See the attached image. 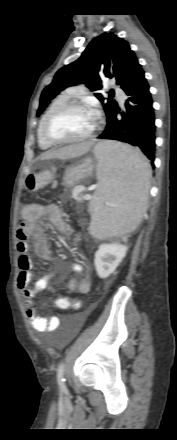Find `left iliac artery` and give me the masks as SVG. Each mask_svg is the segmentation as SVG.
Segmentation results:
<instances>
[{"mask_svg": "<svg viewBox=\"0 0 177 440\" xmlns=\"http://www.w3.org/2000/svg\"><path fill=\"white\" fill-rule=\"evenodd\" d=\"M57 382L59 387L64 390L66 388L65 386V379H64V363L62 362L57 370Z\"/></svg>", "mask_w": 177, "mask_h": 440, "instance_id": "obj_1", "label": "left iliac artery"}]
</instances>
